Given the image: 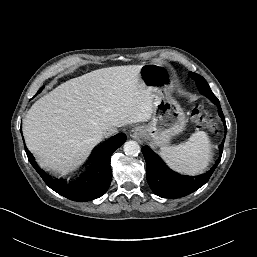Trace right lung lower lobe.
<instances>
[{"label":"right lung lower lobe","mask_w":257,"mask_h":257,"mask_svg":"<svg viewBox=\"0 0 257 257\" xmlns=\"http://www.w3.org/2000/svg\"><path fill=\"white\" fill-rule=\"evenodd\" d=\"M126 139L125 134L119 133L96 147L84 171L70 180L58 179L47 174L39 168L26 148L25 151L29 162L52 190L70 200L86 202L101 197L108 190L112 178L111 155Z\"/></svg>","instance_id":"right-lung-lower-lobe-1"}]
</instances>
